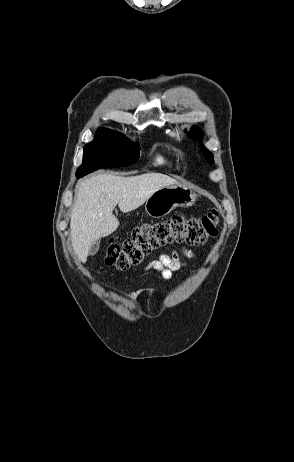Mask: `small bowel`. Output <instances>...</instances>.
<instances>
[{
	"mask_svg": "<svg viewBox=\"0 0 294 462\" xmlns=\"http://www.w3.org/2000/svg\"><path fill=\"white\" fill-rule=\"evenodd\" d=\"M181 253L187 258H193L196 256L195 252L187 248H181ZM184 263L181 261L177 252H173L170 255L161 254L155 260L150 261L144 268L143 271L155 270L160 273L161 277L169 281L173 277V273L182 269ZM141 291L130 292V297H136Z\"/></svg>",
	"mask_w": 294,
	"mask_h": 462,
	"instance_id": "small-bowel-1",
	"label": "small bowel"
}]
</instances>
